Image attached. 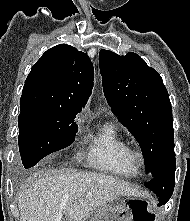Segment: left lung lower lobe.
Listing matches in <instances>:
<instances>
[{
	"label": "left lung lower lobe",
	"instance_id": "left-lung-lower-lobe-1",
	"mask_svg": "<svg viewBox=\"0 0 190 221\" xmlns=\"http://www.w3.org/2000/svg\"><path fill=\"white\" fill-rule=\"evenodd\" d=\"M145 186L159 197L158 206L166 204L175 186V158L163 166Z\"/></svg>",
	"mask_w": 190,
	"mask_h": 221
}]
</instances>
